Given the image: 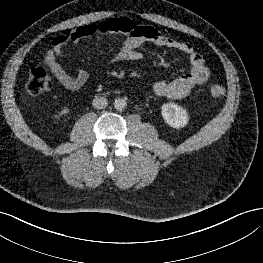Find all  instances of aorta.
<instances>
[{"mask_svg": "<svg viewBox=\"0 0 263 263\" xmlns=\"http://www.w3.org/2000/svg\"><path fill=\"white\" fill-rule=\"evenodd\" d=\"M126 106H127V103H126L125 99H123V98H118L114 102V108L117 111H123L126 108Z\"/></svg>", "mask_w": 263, "mask_h": 263, "instance_id": "obj_1", "label": "aorta"}]
</instances>
